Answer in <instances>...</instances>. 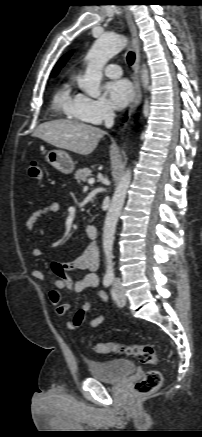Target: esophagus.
<instances>
[{"label":"esophagus","mask_w":202,"mask_h":437,"mask_svg":"<svg viewBox=\"0 0 202 437\" xmlns=\"http://www.w3.org/2000/svg\"><path fill=\"white\" fill-rule=\"evenodd\" d=\"M126 15L128 18L131 36H132V46L135 51V62L133 65V83L135 88V97L129 109V115H131L134 112V110L138 107V105L141 103V99H142V93H141V87L139 81L140 42L138 38L137 28L132 20L131 13L128 10H126Z\"/></svg>","instance_id":"obj_1"}]
</instances>
